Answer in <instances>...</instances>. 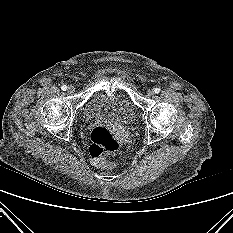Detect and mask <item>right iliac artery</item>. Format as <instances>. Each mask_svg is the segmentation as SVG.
<instances>
[{
    "mask_svg": "<svg viewBox=\"0 0 233 233\" xmlns=\"http://www.w3.org/2000/svg\"><path fill=\"white\" fill-rule=\"evenodd\" d=\"M61 89H62L63 91H66V90H67V86H66V85H62V86H61Z\"/></svg>",
    "mask_w": 233,
    "mask_h": 233,
    "instance_id": "82829eb1",
    "label": "right iliac artery"
}]
</instances>
